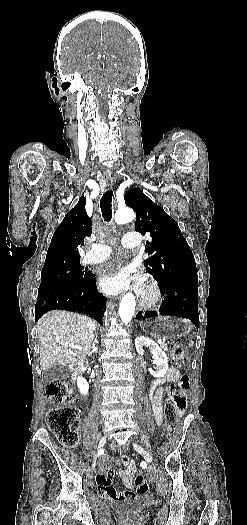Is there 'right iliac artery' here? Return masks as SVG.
<instances>
[{
	"label": "right iliac artery",
	"instance_id": "obj_1",
	"mask_svg": "<svg viewBox=\"0 0 247 525\" xmlns=\"http://www.w3.org/2000/svg\"><path fill=\"white\" fill-rule=\"evenodd\" d=\"M104 453V450L103 449H100L99 452H98V456L103 454Z\"/></svg>",
	"mask_w": 247,
	"mask_h": 525
}]
</instances>
